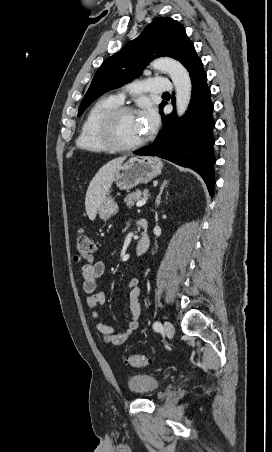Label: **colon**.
I'll list each match as a JSON object with an SVG mask.
<instances>
[{
  "label": "colon",
  "mask_w": 272,
  "mask_h": 452,
  "mask_svg": "<svg viewBox=\"0 0 272 452\" xmlns=\"http://www.w3.org/2000/svg\"><path fill=\"white\" fill-rule=\"evenodd\" d=\"M95 252V245L91 236L84 230L80 229L76 239V260L90 261ZM127 363L134 367H145L151 363V359L139 354H130Z\"/></svg>",
  "instance_id": "1"
}]
</instances>
